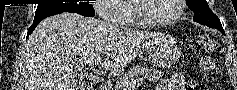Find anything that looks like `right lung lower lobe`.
<instances>
[{"label": "right lung lower lobe", "mask_w": 237, "mask_h": 90, "mask_svg": "<svg viewBox=\"0 0 237 90\" xmlns=\"http://www.w3.org/2000/svg\"><path fill=\"white\" fill-rule=\"evenodd\" d=\"M78 14H81V15L87 16V17H93V15H89V14H84V13H78ZM42 20H43V19H42ZM42 20H37V21H34V22H33V24L31 25V27H30L29 30H28L27 37L33 32V30L36 28V26H37Z\"/></svg>", "instance_id": "obj_1"}]
</instances>
